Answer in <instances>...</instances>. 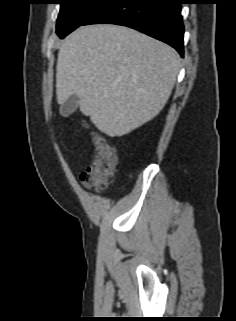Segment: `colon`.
Wrapping results in <instances>:
<instances>
[{
	"label": "colon",
	"instance_id": "1",
	"mask_svg": "<svg viewBox=\"0 0 236 321\" xmlns=\"http://www.w3.org/2000/svg\"><path fill=\"white\" fill-rule=\"evenodd\" d=\"M93 142L95 152L81 175V182L85 188L98 191L105 189L112 182L117 156L115 148L100 133L93 132Z\"/></svg>",
	"mask_w": 236,
	"mask_h": 321
}]
</instances>
